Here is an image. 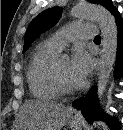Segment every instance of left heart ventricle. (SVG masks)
Instances as JSON below:
<instances>
[{
    "label": "left heart ventricle",
    "mask_w": 123,
    "mask_h": 130,
    "mask_svg": "<svg viewBox=\"0 0 123 130\" xmlns=\"http://www.w3.org/2000/svg\"><path fill=\"white\" fill-rule=\"evenodd\" d=\"M57 72L63 82L70 87H77L75 82L72 80L69 72V62L62 61L56 65Z\"/></svg>",
    "instance_id": "b2bd125f"
}]
</instances>
